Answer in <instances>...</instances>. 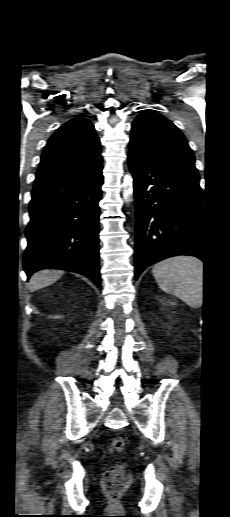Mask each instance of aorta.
Here are the masks:
<instances>
[{
  "mask_svg": "<svg viewBox=\"0 0 230 517\" xmlns=\"http://www.w3.org/2000/svg\"><path fill=\"white\" fill-rule=\"evenodd\" d=\"M123 186V197L126 201H129L133 193V178L130 174L125 175Z\"/></svg>",
  "mask_w": 230,
  "mask_h": 517,
  "instance_id": "aorta-1",
  "label": "aorta"
}]
</instances>
